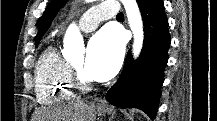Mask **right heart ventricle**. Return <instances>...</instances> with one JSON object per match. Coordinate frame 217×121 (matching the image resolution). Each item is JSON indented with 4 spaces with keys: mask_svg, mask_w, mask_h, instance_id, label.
<instances>
[{
    "mask_svg": "<svg viewBox=\"0 0 217 121\" xmlns=\"http://www.w3.org/2000/svg\"><path fill=\"white\" fill-rule=\"evenodd\" d=\"M35 93L42 104L64 101L74 93L70 64L56 46L46 48L38 59L35 69Z\"/></svg>",
    "mask_w": 217,
    "mask_h": 121,
    "instance_id": "right-heart-ventricle-1",
    "label": "right heart ventricle"
}]
</instances>
